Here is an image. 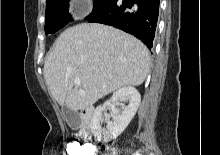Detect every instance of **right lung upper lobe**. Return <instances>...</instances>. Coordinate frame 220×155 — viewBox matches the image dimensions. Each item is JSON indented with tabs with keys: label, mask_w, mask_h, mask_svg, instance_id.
I'll use <instances>...</instances> for the list:
<instances>
[{
	"label": "right lung upper lobe",
	"mask_w": 220,
	"mask_h": 155,
	"mask_svg": "<svg viewBox=\"0 0 220 155\" xmlns=\"http://www.w3.org/2000/svg\"><path fill=\"white\" fill-rule=\"evenodd\" d=\"M51 1H53V0H47V1H46V4H47V3H50Z\"/></svg>",
	"instance_id": "obj_1"
}]
</instances>
